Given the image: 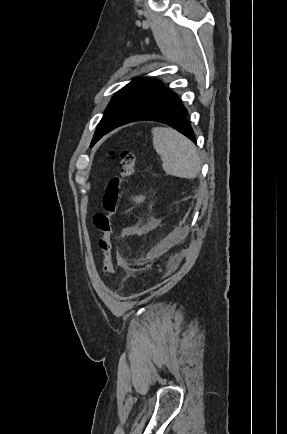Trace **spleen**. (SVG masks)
I'll return each instance as SVG.
<instances>
[{
    "mask_svg": "<svg viewBox=\"0 0 287 434\" xmlns=\"http://www.w3.org/2000/svg\"><path fill=\"white\" fill-rule=\"evenodd\" d=\"M152 135L153 147L162 157L166 174L186 179L198 175L201 162L192 141L178 131L165 127H154Z\"/></svg>",
    "mask_w": 287,
    "mask_h": 434,
    "instance_id": "1",
    "label": "spleen"
}]
</instances>
